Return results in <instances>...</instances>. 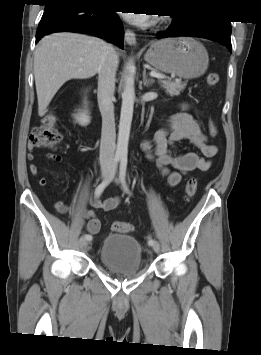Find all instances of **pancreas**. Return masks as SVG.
<instances>
[{"mask_svg": "<svg viewBox=\"0 0 261 355\" xmlns=\"http://www.w3.org/2000/svg\"><path fill=\"white\" fill-rule=\"evenodd\" d=\"M162 87L170 96H178L186 87V82H171L170 80H160Z\"/></svg>", "mask_w": 261, "mask_h": 355, "instance_id": "1", "label": "pancreas"}]
</instances>
